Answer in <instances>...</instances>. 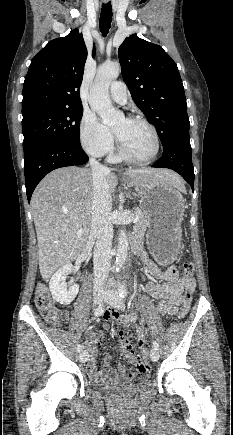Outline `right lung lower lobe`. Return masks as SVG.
Masks as SVG:
<instances>
[{"instance_id": "98d812e1", "label": "right lung lower lobe", "mask_w": 233, "mask_h": 435, "mask_svg": "<svg viewBox=\"0 0 233 435\" xmlns=\"http://www.w3.org/2000/svg\"><path fill=\"white\" fill-rule=\"evenodd\" d=\"M25 187L28 201L41 179L54 169L81 166L88 156L80 146H70L54 141H44L24 148Z\"/></svg>"}]
</instances>
